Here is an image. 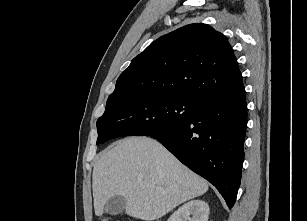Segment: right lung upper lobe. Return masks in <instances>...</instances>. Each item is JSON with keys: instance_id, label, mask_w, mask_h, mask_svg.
Returning <instances> with one entry per match:
<instances>
[{"instance_id": "cb5924a9", "label": "right lung upper lobe", "mask_w": 307, "mask_h": 221, "mask_svg": "<svg viewBox=\"0 0 307 221\" xmlns=\"http://www.w3.org/2000/svg\"><path fill=\"white\" fill-rule=\"evenodd\" d=\"M244 89L226 37L206 24L186 25L152 42L116 82L107 104L158 94L201 102Z\"/></svg>"}]
</instances>
